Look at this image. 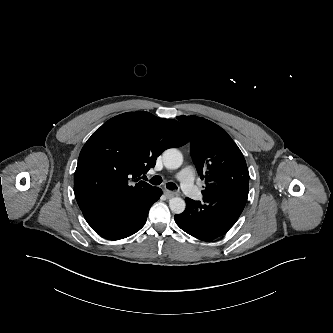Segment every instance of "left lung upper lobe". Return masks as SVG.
Masks as SVG:
<instances>
[{
    "mask_svg": "<svg viewBox=\"0 0 333 333\" xmlns=\"http://www.w3.org/2000/svg\"><path fill=\"white\" fill-rule=\"evenodd\" d=\"M177 119L190 134L191 156L206 184L203 194L226 184L249 181L244 156L225 130L197 116Z\"/></svg>",
    "mask_w": 333,
    "mask_h": 333,
    "instance_id": "obj_1",
    "label": "left lung upper lobe"
}]
</instances>
